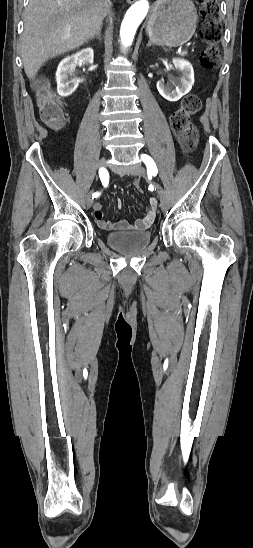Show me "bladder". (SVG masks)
Returning a JSON list of instances; mask_svg holds the SVG:
<instances>
[{"mask_svg": "<svg viewBox=\"0 0 253 548\" xmlns=\"http://www.w3.org/2000/svg\"><path fill=\"white\" fill-rule=\"evenodd\" d=\"M152 234L143 231H114L106 235V241L113 249L124 254H136L144 250L150 243Z\"/></svg>", "mask_w": 253, "mask_h": 548, "instance_id": "1", "label": "bladder"}]
</instances>
